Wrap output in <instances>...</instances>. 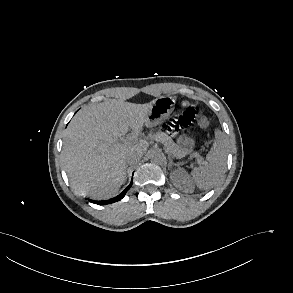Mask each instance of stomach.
Instances as JSON below:
<instances>
[{"mask_svg": "<svg viewBox=\"0 0 293 293\" xmlns=\"http://www.w3.org/2000/svg\"><path fill=\"white\" fill-rule=\"evenodd\" d=\"M175 106V100L172 97H159L155 99L153 106L145 119L147 127H153L166 121L170 116ZM178 144L184 153H190L195 141L192 137L182 135L178 138Z\"/></svg>", "mask_w": 293, "mask_h": 293, "instance_id": "1", "label": "stomach"}]
</instances>
